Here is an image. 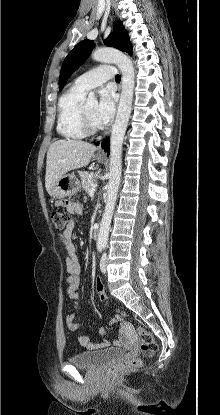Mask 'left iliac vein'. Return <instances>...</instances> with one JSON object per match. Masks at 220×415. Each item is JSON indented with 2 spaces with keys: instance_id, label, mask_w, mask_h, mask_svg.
<instances>
[{
  "instance_id": "4c4485c4",
  "label": "left iliac vein",
  "mask_w": 220,
  "mask_h": 415,
  "mask_svg": "<svg viewBox=\"0 0 220 415\" xmlns=\"http://www.w3.org/2000/svg\"><path fill=\"white\" fill-rule=\"evenodd\" d=\"M106 265H107V254H106V253H104V254L102 255V258H101V261H100V270H101L103 273H106V271H107V269H106Z\"/></svg>"
}]
</instances>
